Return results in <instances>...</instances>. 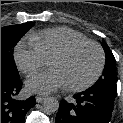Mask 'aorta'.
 Masks as SVG:
<instances>
[{
	"instance_id": "762f6f07",
	"label": "aorta",
	"mask_w": 123,
	"mask_h": 123,
	"mask_svg": "<svg viewBox=\"0 0 123 123\" xmlns=\"http://www.w3.org/2000/svg\"><path fill=\"white\" fill-rule=\"evenodd\" d=\"M43 106L47 113H55L59 109V101L54 97H47L44 100Z\"/></svg>"
}]
</instances>
